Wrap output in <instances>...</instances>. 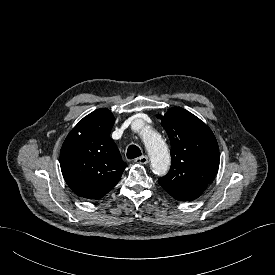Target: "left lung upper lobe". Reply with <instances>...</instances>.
<instances>
[{
  "label": "left lung upper lobe",
  "instance_id": "5c2ea615",
  "mask_svg": "<svg viewBox=\"0 0 275 275\" xmlns=\"http://www.w3.org/2000/svg\"><path fill=\"white\" fill-rule=\"evenodd\" d=\"M157 118L171 142V167L158 182L176 200H195L217 174L220 157L216 138L204 122L185 109L173 107Z\"/></svg>",
  "mask_w": 275,
  "mask_h": 275
}]
</instances>
